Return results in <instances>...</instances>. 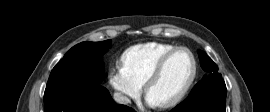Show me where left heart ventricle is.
I'll list each match as a JSON object with an SVG mask.
<instances>
[{
    "label": "left heart ventricle",
    "instance_id": "obj_1",
    "mask_svg": "<svg viewBox=\"0 0 270 112\" xmlns=\"http://www.w3.org/2000/svg\"><path fill=\"white\" fill-rule=\"evenodd\" d=\"M192 72V60L185 51L174 54L166 64L160 77L148 91L159 104L176 96L186 85Z\"/></svg>",
    "mask_w": 270,
    "mask_h": 112
}]
</instances>
